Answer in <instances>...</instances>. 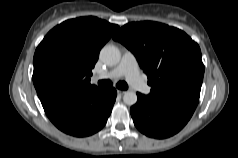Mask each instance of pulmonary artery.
<instances>
[{
  "label": "pulmonary artery",
  "instance_id": "obj_1",
  "mask_svg": "<svg viewBox=\"0 0 238 158\" xmlns=\"http://www.w3.org/2000/svg\"><path fill=\"white\" fill-rule=\"evenodd\" d=\"M122 76H125L130 84L140 92L144 94L150 92V87L141 78L135 56L129 51L123 54L120 63L116 67L100 76H95L94 79H116Z\"/></svg>",
  "mask_w": 238,
  "mask_h": 158
}]
</instances>
